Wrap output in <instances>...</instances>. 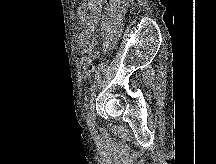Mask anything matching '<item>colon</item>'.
<instances>
[{
  "mask_svg": "<svg viewBox=\"0 0 216 164\" xmlns=\"http://www.w3.org/2000/svg\"><path fill=\"white\" fill-rule=\"evenodd\" d=\"M95 70V67L91 61L82 62V76L89 78Z\"/></svg>",
  "mask_w": 216,
  "mask_h": 164,
  "instance_id": "1",
  "label": "colon"
}]
</instances>
